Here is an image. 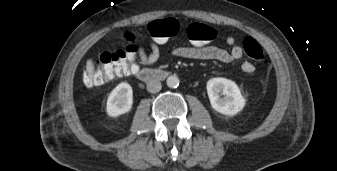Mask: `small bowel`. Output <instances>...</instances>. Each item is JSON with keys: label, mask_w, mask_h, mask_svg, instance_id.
<instances>
[{"label": "small bowel", "mask_w": 337, "mask_h": 171, "mask_svg": "<svg viewBox=\"0 0 337 171\" xmlns=\"http://www.w3.org/2000/svg\"><path fill=\"white\" fill-rule=\"evenodd\" d=\"M131 45L137 47V56L139 62L143 66H151L155 64L160 58V46L156 42L150 43V51L147 53L145 49L134 43L132 36L128 37ZM225 43L231 46L227 50L215 45L208 46H179L173 50V55L177 58L190 59V60H215L223 63H230L238 60L243 55V49L235 45V39L232 36L225 38ZM241 70L244 74H252L255 70L254 65L245 61L241 65Z\"/></svg>", "instance_id": "1"}]
</instances>
